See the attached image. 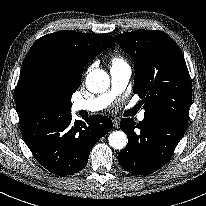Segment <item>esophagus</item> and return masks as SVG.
I'll list each match as a JSON object with an SVG mask.
<instances>
[{"label":"esophagus","mask_w":206,"mask_h":206,"mask_svg":"<svg viewBox=\"0 0 206 206\" xmlns=\"http://www.w3.org/2000/svg\"><path fill=\"white\" fill-rule=\"evenodd\" d=\"M113 125L115 128L119 127V121L117 119H113Z\"/></svg>","instance_id":"1"}]
</instances>
